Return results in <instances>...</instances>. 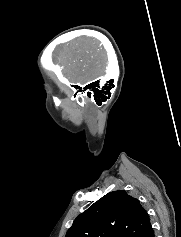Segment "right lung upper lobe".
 Listing matches in <instances>:
<instances>
[{
    "instance_id": "1",
    "label": "right lung upper lobe",
    "mask_w": 181,
    "mask_h": 237,
    "mask_svg": "<svg viewBox=\"0 0 181 237\" xmlns=\"http://www.w3.org/2000/svg\"><path fill=\"white\" fill-rule=\"evenodd\" d=\"M149 216L125 190L112 191L76 217L65 237H153Z\"/></svg>"
}]
</instances>
